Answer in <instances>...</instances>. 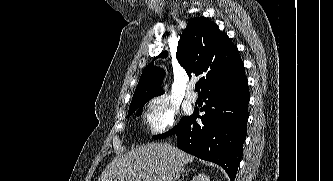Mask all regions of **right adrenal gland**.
I'll use <instances>...</instances> for the list:
<instances>
[{"instance_id":"right-adrenal-gland-1","label":"right adrenal gland","mask_w":333,"mask_h":181,"mask_svg":"<svg viewBox=\"0 0 333 181\" xmlns=\"http://www.w3.org/2000/svg\"><path fill=\"white\" fill-rule=\"evenodd\" d=\"M191 170H193V169H192V168H191V169H189V168L183 169V170H182L183 175H182L181 179H179L178 181H182V179H184L185 176H188V173H189Z\"/></svg>"}]
</instances>
